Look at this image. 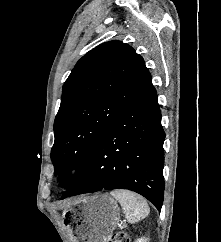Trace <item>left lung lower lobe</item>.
Instances as JSON below:
<instances>
[{"label":"left lung lower lobe","mask_w":221,"mask_h":242,"mask_svg":"<svg viewBox=\"0 0 221 242\" xmlns=\"http://www.w3.org/2000/svg\"><path fill=\"white\" fill-rule=\"evenodd\" d=\"M165 133L153 85L103 133L85 174L61 197L111 189L137 192L161 209Z\"/></svg>","instance_id":"obj_1"}]
</instances>
